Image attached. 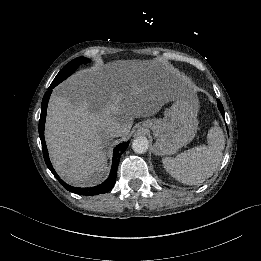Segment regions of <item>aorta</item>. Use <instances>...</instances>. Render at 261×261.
<instances>
[{
	"label": "aorta",
	"mask_w": 261,
	"mask_h": 261,
	"mask_svg": "<svg viewBox=\"0 0 261 261\" xmlns=\"http://www.w3.org/2000/svg\"><path fill=\"white\" fill-rule=\"evenodd\" d=\"M148 147V139L144 136L136 137L132 142V150L137 154H143L147 152Z\"/></svg>",
	"instance_id": "762f6f07"
}]
</instances>
